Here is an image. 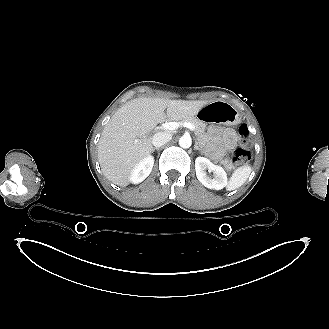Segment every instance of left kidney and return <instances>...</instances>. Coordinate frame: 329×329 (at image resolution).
Wrapping results in <instances>:
<instances>
[{
	"instance_id": "5707ae66",
	"label": "left kidney",
	"mask_w": 329,
	"mask_h": 329,
	"mask_svg": "<svg viewBox=\"0 0 329 329\" xmlns=\"http://www.w3.org/2000/svg\"><path fill=\"white\" fill-rule=\"evenodd\" d=\"M196 176L198 180L207 188L221 190L227 186V173L218 165L213 164L205 157H197L195 160ZM206 170L213 172L214 177L207 175Z\"/></svg>"
}]
</instances>
